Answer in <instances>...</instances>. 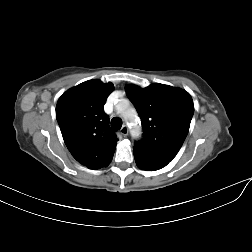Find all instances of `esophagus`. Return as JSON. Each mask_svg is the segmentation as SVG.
Listing matches in <instances>:
<instances>
[{"mask_svg":"<svg viewBox=\"0 0 252 252\" xmlns=\"http://www.w3.org/2000/svg\"><path fill=\"white\" fill-rule=\"evenodd\" d=\"M120 133L125 137L128 135V127L126 125H123V127L120 129Z\"/></svg>","mask_w":252,"mask_h":252,"instance_id":"1","label":"esophagus"}]
</instances>
